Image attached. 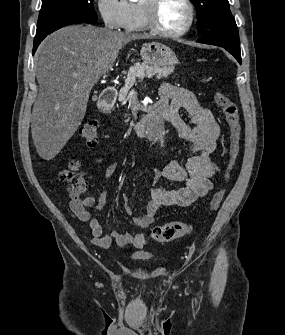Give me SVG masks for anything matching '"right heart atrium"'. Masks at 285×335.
<instances>
[{
	"instance_id": "right-heart-atrium-1",
	"label": "right heart atrium",
	"mask_w": 285,
	"mask_h": 335,
	"mask_svg": "<svg viewBox=\"0 0 285 335\" xmlns=\"http://www.w3.org/2000/svg\"><path fill=\"white\" fill-rule=\"evenodd\" d=\"M99 10L104 25L119 30L125 26L129 8L124 1H100Z\"/></svg>"
}]
</instances>
